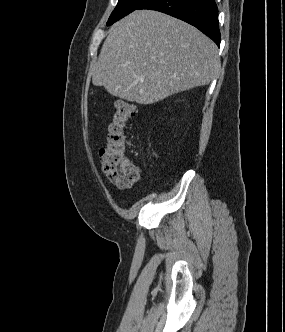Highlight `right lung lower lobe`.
Returning <instances> with one entry per match:
<instances>
[{"mask_svg":"<svg viewBox=\"0 0 285 332\" xmlns=\"http://www.w3.org/2000/svg\"><path fill=\"white\" fill-rule=\"evenodd\" d=\"M137 9H150L179 18L220 46L218 9L214 0H147Z\"/></svg>","mask_w":285,"mask_h":332,"instance_id":"1","label":"right lung lower lobe"}]
</instances>
